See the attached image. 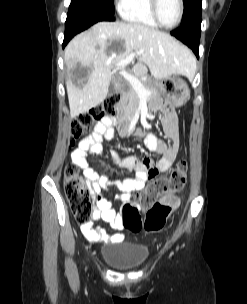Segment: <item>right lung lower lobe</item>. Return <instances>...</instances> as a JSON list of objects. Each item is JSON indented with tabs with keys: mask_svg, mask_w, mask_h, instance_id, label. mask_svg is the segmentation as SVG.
<instances>
[{
	"mask_svg": "<svg viewBox=\"0 0 247 304\" xmlns=\"http://www.w3.org/2000/svg\"><path fill=\"white\" fill-rule=\"evenodd\" d=\"M113 15L105 14L98 11H82L69 9L65 23V34L63 48L69 40L77 33L89 28L99 21H114Z\"/></svg>",
	"mask_w": 247,
	"mask_h": 304,
	"instance_id": "obj_1",
	"label": "right lung lower lobe"
}]
</instances>
